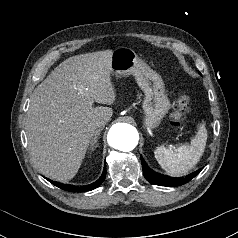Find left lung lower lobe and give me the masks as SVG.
I'll list each match as a JSON object with an SVG mask.
<instances>
[{
	"instance_id": "obj_1",
	"label": "left lung lower lobe",
	"mask_w": 238,
	"mask_h": 238,
	"mask_svg": "<svg viewBox=\"0 0 238 238\" xmlns=\"http://www.w3.org/2000/svg\"><path fill=\"white\" fill-rule=\"evenodd\" d=\"M141 163L143 167V174L146 180H148L152 184L159 185V186L175 187V186L183 185L189 182L191 179H193L201 171V170H198L184 178H172V177H168V176L154 172L145 164L142 158H141Z\"/></svg>"
}]
</instances>
